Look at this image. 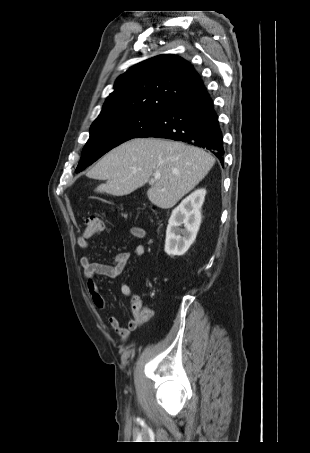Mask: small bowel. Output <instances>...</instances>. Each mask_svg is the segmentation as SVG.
Masks as SVG:
<instances>
[{"mask_svg": "<svg viewBox=\"0 0 310 453\" xmlns=\"http://www.w3.org/2000/svg\"><path fill=\"white\" fill-rule=\"evenodd\" d=\"M130 235L138 240H142L146 237V232L143 228L138 226H133L129 230ZM89 238L85 234L77 238V245L81 249H87L89 247ZM146 253V247L144 245H138L135 249V257L139 258L142 257ZM130 253L129 252H120L118 253L113 262L111 264L100 263L97 261L92 260L90 257H82L80 260L81 267L83 269V274L86 280L87 291L89 297L94 304V306L98 309H106L107 304L100 293L95 276L100 275L108 278H116L120 276L129 260H130ZM121 293L125 297H129L132 299L131 302V314L132 317L128 320L127 325L123 326L119 319L111 315L108 318L109 324L115 333L120 337L121 342H126L130 333L137 328H139L142 324H144L149 316L150 310L148 308H144L142 302L138 296L132 294L131 287L127 282H122L120 285ZM143 310L148 311L147 316H141V312Z\"/></svg>", "mask_w": 310, "mask_h": 453, "instance_id": "obj_1", "label": "small bowel"}]
</instances>
